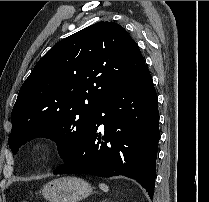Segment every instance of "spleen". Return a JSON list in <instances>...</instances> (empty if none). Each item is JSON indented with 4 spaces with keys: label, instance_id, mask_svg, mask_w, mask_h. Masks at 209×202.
Returning <instances> with one entry per match:
<instances>
[{
    "label": "spleen",
    "instance_id": "3e777b00",
    "mask_svg": "<svg viewBox=\"0 0 209 202\" xmlns=\"http://www.w3.org/2000/svg\"><path fill=\"white\" fill-rule=\"evenodd\" d=\"M99 187H100V189L103 190L104 192H107L108 189H109L108 186L105 185L104 183L99 184Z\"/></svg>",
    "mask_w": 209,
    "mask_h": 202
}]
</instances>
